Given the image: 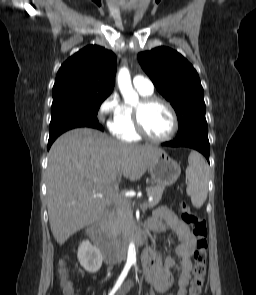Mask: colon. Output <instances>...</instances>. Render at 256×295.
I'll use <instances>...</instances> for the list:
<instances>
[{"instance_id": "obj_1", "label": "colon", "mask_w": 256, "mask_h": 295, "mask_svg": "<svg viewBox=\"0 0 256 295\" xmlns=\"http://www.w3.org/2000/svg\"><path fill=\"white\" fill-rule=\"evenodd\" d=\"M181 219L185 224L191 225L195 237V249L193 252V278L189 295H202L207 261V225L203 217L193 213L185 202L179 204ZM61 284L65 295H73V283L69 277L67 268L63 265L61 269Z\"/></svg>"}]
</instances>
